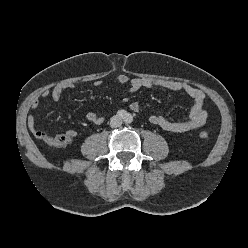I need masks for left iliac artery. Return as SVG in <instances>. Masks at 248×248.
<instances>
[{
	"label": "left iliac artery",
	"instance_id": "obj_1",
	"mask_svg": "<svg viewBox=\"0 0 248 248\" xmlns=\"http://www.w3.org/2000/svg\"><path fill=\"white\" fill-rule=\"evenodd\" d=\"M133 121V117L130 114H127L126 118H125V122L127 124H130Z\"/></svg>",
	"mask_w": 248,
	"mask_h": 248
}]
</instances>
